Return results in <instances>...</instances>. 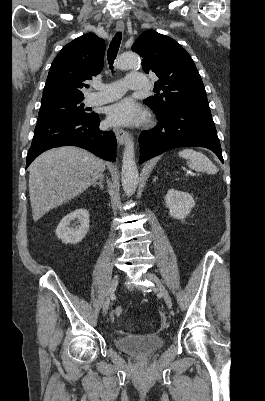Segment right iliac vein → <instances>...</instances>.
<instances>
[{
	"label": "right iliac vein",
	"mask_w": 265,
	"mask_h": 401,
	"mask_svg": "<svg viewBox=\"0 0 265 401\" xmlns=\"http://www.w3.org/2000/svg\"><path fill=\"white\" fill-rule=\"evenodd\" d=\"M118 282H119V276L115 275L113 277L112 281L110 282L106 297L103 302L102 312L104 315L108 312L109 304H110V301H111V299L114 295V292L118 286Z\"/></svg>",
	"instance_id": "1"
}]
</instances>
